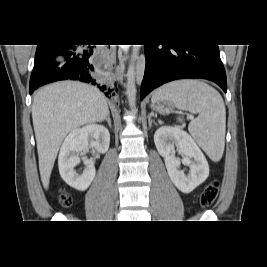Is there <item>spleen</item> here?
<instances>
[{
	"instance_id": "1",
	"label": "spleen",
	"mask_w": 267,
	"mask_h": 267,
	"mask_svg": "<svg viewBox=\"0 0 267 267\" xmlns=\"http://www.w3.org/2000/svg\"><path fill=\"white\" fill-rule=\"evenodd\" d=\"M169 100L178 109L198 114L188 130L209 158L218 162L224 152L226 111L220 93L210 85L195 79L168 83L157 89L152 101ZM181 122L182 119L178 118Z\"/></svg>"
}]
</instances>
